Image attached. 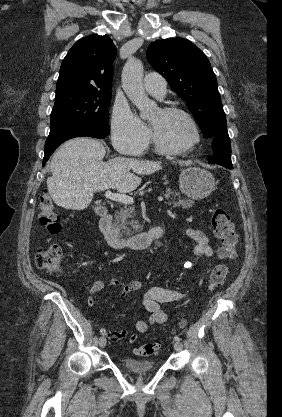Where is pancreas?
<instances>
[{
    "label": "pancreas",
    "instance_id": "1",
    "mask_svg": "<svg viewBox=\"0 0 282 417\" xmlns=\"http://www.w3.org/2000/svg\"><path fill=\"white\" fill-rule=\"evenodd\" d=\"M165 198H167V204H172V206H182V209H189V206H193L194 200H190V198H182L180 192H176V190H172V188H165ZM135 206H127L125 204L124 209H120V213L115 215V223L119 229H122V235H126V237H130L132 233H141V225H138V221L136 219ZM134 229V231H131Z\"/></svg>",
    "mask_w": 282,
    "mask_h": 417
}]
</instances>
